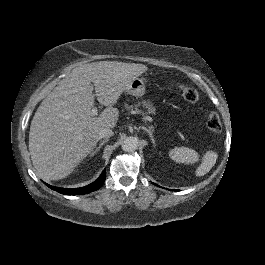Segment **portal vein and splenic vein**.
Here are the masks:
<instances>
[{"label":"portal vein and splenic vein","instance_id":"obj_1","mask_svg":"<svg viewBox=\"0 0 265 265\" xmlns=\"http://www.w3.org/2000/svg\"><path fill=\"white\" fill-rule=\"evenodd\" d=\"M91 113H92V115L93 116H95V115H97V109L96 108H93L92 110H91ZM147 121H149V122H152L153 121V119L150 117V116H145L144 117Z\"/></svg>","mask_w":265,"mask_h":265}]
</instances>
